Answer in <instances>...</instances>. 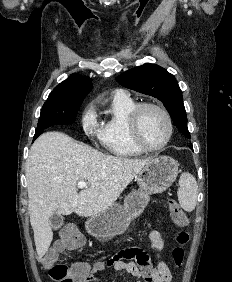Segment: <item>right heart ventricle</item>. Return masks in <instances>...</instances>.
Returning a JSON list of instances; mask_svg holds the SVG:
<instances>
[{
    "label": "right heart ventricle",
    "instance_id": "right-heart-ventricle-1",
    "mask_svg": "<svg viewBox=\"0 0 232 282\" xmlns=\"http://www.w3.org/2000/svg\"><path fill=\"white\" fill-rule=\"evenodd\" d=\"M136 105L126 93H115L111 97L100 136L103 147L109 153L119 157H133L144 152L134 145L128 130V116Z\"/></svg>",
    "mask_w": 232,
    "mask_h": 282
}]
</instances>
